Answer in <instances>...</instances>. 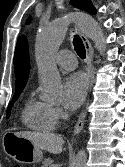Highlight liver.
<instances>
[{"label": "liver", "mask_w": 125, "mask_h": 167, "mask_svg": "<svg viewBox=\"0 0 125 167\" xmlns=\"http://www.w3.org/2000/svg\"><path fill=\"white\" fill-rule=\"evenodd\" d=\"M16 135L30 140L41 150H46L53 154L62 152L64 140L61 136L53 133L20 131Z\"/></svg>", "instance_id": "1"}]
</instances>
